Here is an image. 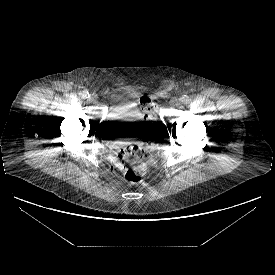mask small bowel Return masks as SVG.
I'll return each instance as SVG.
<instances>
[{
  "instance_id": "1",
  "label": "small bowel",
  "mask_w": 275,
  "mask_h": 275,
  "mask_svg": "<svg viewBox=\"0 0 275 275\" xmlns=\"http://www.w3.org/2000/svg\"><path fill=\"white\" fill-rule=\"evenodd\" d=\"M111 161H112L114 167H115L117 170H123V169H124V165H122V166H117V157L112 156V157H111Z\"/></svg>"
}]
</instances>
